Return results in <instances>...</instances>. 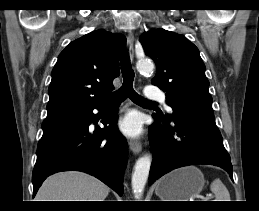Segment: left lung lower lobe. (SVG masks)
<instances>
[{
    "label": "left lung lower lobe",
    "instance_id": "obj_1",
    "mask_svg": "<svg viewBox=\"0 0 259 211\" xmlns=\"http://www.w3.org/2000/svg\"><path fill=\"white\" fill-rule=\"evenodd\" d=\"M153 117L158 124L150 126L153 149L150 185L171 170L187 165H215L233 178L231 159L214 119L179 113L172 115V126L169 120Z\"/></svg>",
    "mask_w": 259,
    "mask_h": 211
}]
</instances>
